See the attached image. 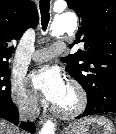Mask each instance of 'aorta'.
Returning <instances> with one entry per match:
<instances>
[{
    "instance_id": "aorta-1",
    "label": "aorta",
    "mask_w": 116,
    "mask_h": 134,
    "mask_svg": "<svg viewBox=\"0 0 116 134\" xmlns=\"http://www.w3.org/2000/svg\"><path fill=\"white\" fill-rule=\"evenodd\" d=\"M77 25V17L72 12H64L58 16L52 26H51V35L59 36L64 34L67 30L75 29ZM55 125L48 120L40 130V134H54Z\"/></svg>"
}]
</instances>
